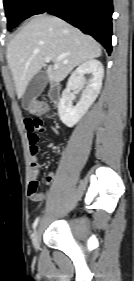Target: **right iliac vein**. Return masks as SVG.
I'll use <instances>...</instances> for the list:
<instances>
[{"label": "right iliac vein", "instance_id": "63e3f726", "mask_svg": "<svg viewBox=\"0 0 134 281\" xmlns=\"http://www.w3.org/2000/svg\"><path fill=\"white\" fill-rule=\"evenodd\" d=\"M40 240H41V234H40L39 229H37V230L34 232L33 237H32L33 246H34V248H35L36 250H37V248H38V246H39Z\"/></svg>", "mask_w": 134, "mask_h": 281}]
</instances>
